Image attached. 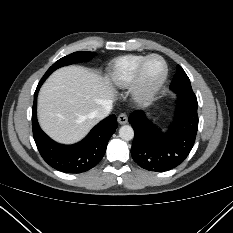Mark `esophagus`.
<instances>
[{"label":"esophagus","instance_id":"34e87169","mask_svg":"<svg viewBox=\"0 0 233 233\" xmlns=\"http://www.w3.org/2000/svg\"><path fill=\"white\" fill-rule=\"evenodd\" d=\"M117 121L121 125L126 124L128 122V117L126 114H120L117 118Z\"/></svg>","mask_w":233,"mask_h":233}]
</instances>
